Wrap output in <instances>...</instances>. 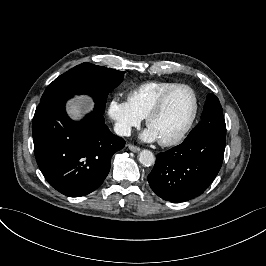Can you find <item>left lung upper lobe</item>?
Listing matches in <instances>:
<instances>
[{
  "label": "left lung upper lobe",
  "instance_id": "obj_1",
  "mask_svg": "<svg viewBox=\"0 0 266 266\" xmlns=\"http://www.w3.org/2000/svg\"><path fill=\"white\" fill-rule=\"evenodd\" d=\"M204 133L226 136V125L222 107L218 98L213 94L207 96L203 113L201 115V121L189 133L186 139Z\"/></svg>",
  "mask_w": 266,
  "mask_h": 266
}]
</instances>
